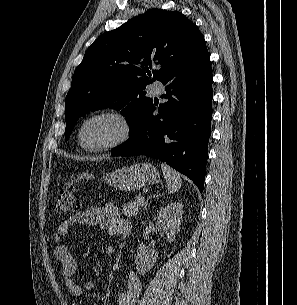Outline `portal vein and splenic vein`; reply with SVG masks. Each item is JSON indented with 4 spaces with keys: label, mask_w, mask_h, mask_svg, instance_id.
<instances>
[{
    "label": "portal vein and splenic vein",
    "mask_w": 297,
    "mask_h": 305,
    "mask_svg": "<svg viewBox=\"0 0 297 305\" xmlns=\"http://www.w3.org/2000/svg\"><path fill=\"white\" fill-rule=\"evenodd\" d=\"M137 201H138V204H141V202H144V198H143V197H139V198L137 199Z\"/></svg>",
    "instance_id": "18ae733b"
}]
</instances>
